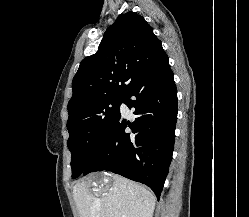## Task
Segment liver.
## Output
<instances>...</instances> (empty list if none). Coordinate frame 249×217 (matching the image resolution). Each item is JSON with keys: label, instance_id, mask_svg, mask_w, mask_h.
I'll use <instances>...</instances> for the list:
<instances>
[{"label": "liver", "instance_id": "liver-1", "mask_svg": "<svg viewBox=\"0 0 249 217\" xmlns=\"http://www.w3.org/2000/svg\"><path fill=\"white\" fill-rule=\"evenodd\" d=\"M73 195L80 217H153L156 202L144 186L105 172L75 184Z\"/></svg>", "mask_w": 249, "mask_h": 217}]
</instances>
